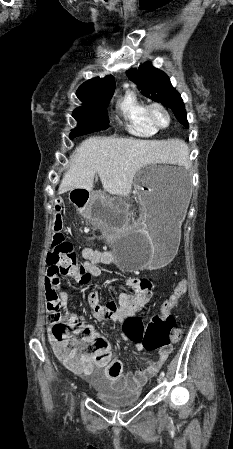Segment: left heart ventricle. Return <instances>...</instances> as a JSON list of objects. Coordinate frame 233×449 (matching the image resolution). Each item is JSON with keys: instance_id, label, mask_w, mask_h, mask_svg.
<instances>
[{"instance_id": "obj_1", "label": "left heart ventricle", "mask_w": 233, "mask_h": 449, "mask_svg": "<svg viewBox=\"0 0 233 449\" xmlns=\"http://www.w3.org/2000/svg\"><path fill=\"white\" fill-rule=\"evenodd\" d=\"M153 117L159 125H165L167 122L166 115L159 109L154 110Z\"/></svg>"}]
</instances>
